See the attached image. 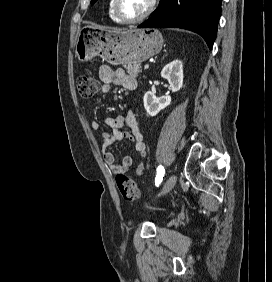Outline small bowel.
I'll use <instances>...</instances> for the list:
<instances>
[{"mask_svg": "<svg viewBox=\"0 0 272 282\" xmlns=\"http://www.w3.org/2000/svg\"><path fill=\"white\" fill-rule=\"evenodd\" d=\"M99 77L102 84V93H107L110 89V85L121 86L125 90L133 91L137 89V80L130 76H127L123 69H113L110 66L103 65L99 69ZM105 124L109 127V130L103 131L101 134L102 139V152L103 157L108 167L114 172H126L132 166V158L125 156L121 163L118 164L115 155L108 151V148L125 138L129 139L135 150L141 157L147 156L146 144L144 136L137 125L135 115L132 111L127 112L123 116L108 117L104 119ZM91 126L94 130H99L100 123L93 121ZM128 130H125V128ZM148 170V165L140 163L136 168V174L139 177H143Z\"/></svg>", "mask_w": 272, "mask_h": 282, "instance_id": "obj_1", "label": "small bowel"}]
</instances>
